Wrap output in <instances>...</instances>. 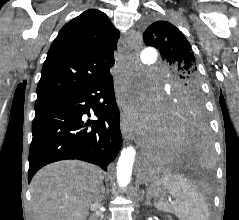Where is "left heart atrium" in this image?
Wrapping results in <instances>:
<instances>
[{"instance_id": "39dd6f15", "label": "left heart atrium", "mask_w": 239, "mask_h": 220, "mask_svg": "<svg viewBox=\"0 0 239 220\" xmlns=\"http://www.w3.org/2000/svg\"><path fill=\"white\" fill-rule=\"evenodd\" d=\"M129 121L132 127H135L139 124L138 118L135 115H132Z\"/></svg>"}]
</instances>
